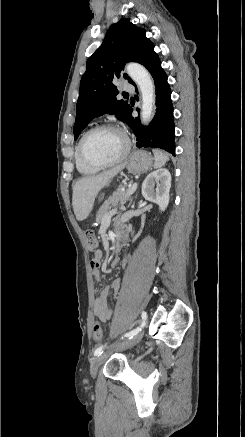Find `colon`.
<instances>
[{
  "instance_id": "5ec220e1",
  "label": "colon",
  "mask_w": 245,
  "mask_h": 437,
  "mask_svg": "<svg viewBox=\"0 0 245 437\" xmlns=\"http://www.w3.org/2000/svg\"><path fill=\"white\" fill-rule=\"evenodd\" d=\"M86 245L90 251H94L97 248L98 242L97 239L91 230H86ZM93 339L95 342H100L103 339V330L100 324H95L93 328Z\"/></svg>"
}]
</instances>
